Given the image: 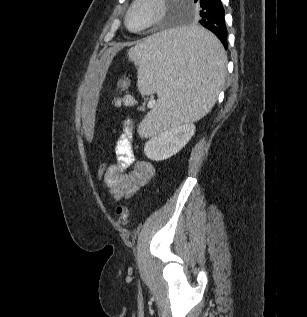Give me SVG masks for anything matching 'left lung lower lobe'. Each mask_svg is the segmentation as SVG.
<instances>
[{
    "mask_svg": "<svg viewBox=\"0 0 307 317\" xmlns=\"http://www.w3.org/2000/svg\"><path fill=\"white\" fill-rule=\"evenodd\" d=\"M198 2L200 8L199 23L213 32L221 41L224 48L227 49V30L225 25V11L221 0H194ZM206 57L209 60H214L215 55L213 52L206 50Z\"/></svg>",
    "mask_w": 307,
    "mask_h": 317,
    "instance_id": "1",
    "label": "left lung lower lobe"
}]
</instances>
